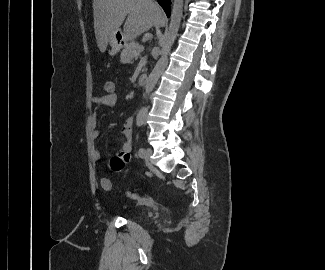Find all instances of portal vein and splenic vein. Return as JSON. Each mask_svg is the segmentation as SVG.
I'll list each match as a JSON object with an SVG mask.
<instances>
[{
	"label": "portal vein and splenic vein",
	"instance_id": "portal-vein-and-splenic-vein-1",
	"mask_svg": "<svg viewBox=\"0 0 325 270\" xmlns=\"http://www.w3.org/2000/svg\"><path fill=\"white\" fill-rule=\"evenodd\" d=\"M144 50V47L143 46H139L138 47V51L140 52V51H143Z\"/></svg>",
	"mask_w": 325,
	"mask_h": 270
}]
</instances>
